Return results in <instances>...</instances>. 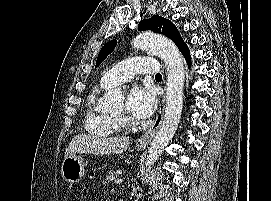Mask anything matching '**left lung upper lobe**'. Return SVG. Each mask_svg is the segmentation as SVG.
<instances>
[{
    "instance_id": "1",
    "label": "left lung upper lobe",
    "mask_w": 271,
    "mask_h": 201,
    "mask_svg": "<svg viewBox=\"0 0 271 201\" xmlns=\"http://www.w3.org/2000/svg\"><path fill=\"white\" fill-rule=\"evenodd\" d=\"M138 29L152 30L155 33H160L170 38L180 49L185 43L181 38L177 28L171 21L161 16H153L150 19H145L140 22ZM117 44L116 40L109 41L100 50L96 61V67L114 50Z\"/></svg>"
}]
</instances>
